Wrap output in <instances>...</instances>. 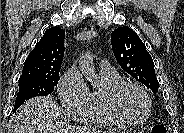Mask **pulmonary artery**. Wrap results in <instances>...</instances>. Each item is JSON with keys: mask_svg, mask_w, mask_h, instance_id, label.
<instances>
[{"mask_svg": "<svg viewBox=\"0 0 184 133\" xmlns=\"http://www.w3.org/2000/svg\"><path fill=\"white\" fill-rule=\"evenodd\" d=\"M100 67L103 70H108V71H112V72H116L115 67L113 65H111L109 62L107 61H103L100 63Z\"/></svg>", "mask_w": 184, "mask_h": 133, "instance_id": "pulmonary-artery-1", "label": "pulmonary artery"}]
</instances>
